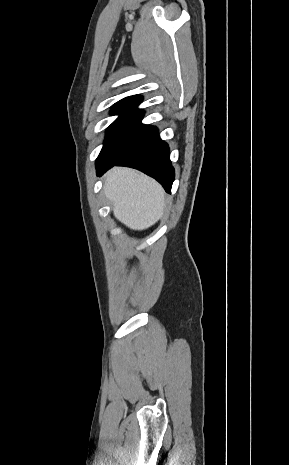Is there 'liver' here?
Wrapping results in <instances>:
<instances>
[{"instance_id": "1", "label": "liver", "mask_w": 289, "mask_h": 465, "mask_svg": "<svg viewBox=\"0 0 289 465\" xmlns=\"http://www.w3.org/2000/svg\"><path fill=\"white\" fill-rule=\"evenodd\" d=\"M103 189L115 218L130 229H147L163 215V188L139 171L114 167L105 175Z\"/></svg>"}]
</instances>
